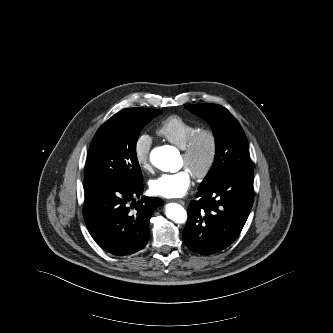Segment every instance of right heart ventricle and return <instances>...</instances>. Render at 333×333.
<instances>
[{
  "label": "right heart ventricle",
  "instance_id": "e07e8e85",
  "mask_svg": "<svg viewBox=\"0 0 333 333\" xmlns=\"http://www.w3.org/2000/svg\"><path fill=\"white\" fill-rule=\"evenodd\" d=\"M199 126L178 115H171L161 122L156 133L183 149L187 141L199 130Z\"/></svg>",
  "mask_w": 333,
  "mask_h": 333
}]
</instances>
